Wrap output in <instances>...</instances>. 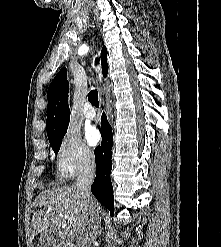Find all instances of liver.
Here are the masks:
<instances>
[{
    "instance_id": "6515ba94",
    "label": "liver",
    "mask_w": 221,
    "mask_h": 247,
    "mask_svg": "<svg viewBox=\"0 0 221 247\" xmlns=\"http://www.w3.org/2000/svg\"><path fill=\"white\" fill-rule=\"evenodd\" d=\"M40 210L33 214L32 236L42 232L57 231L61 225L78 239L82 237L88 223V213L76 186L45 190L35 200ZM99 212V205L97 203Z\"/></svg>"
}]
</instances>
